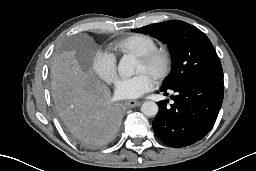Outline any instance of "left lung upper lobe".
I'll use <instances>...</instances> for the list:
<instances>
[{"label":"left lung upper lobe","mask_w":256,"mask_h":171,"mask_svg":"<svg viewBox=\"0 0 256 171\" xmlns=\"http://www.w3.org/2000/svg\"><path fill=\"white\" fill-rule=\"evenodd\" d=\"M134 32L149 34L166 43L173 67L161 88L169 89L185 80H223L220 60L209 38L198 28L179 20L151 24Z\"/></svg>","instance_id":"obj_1"}]
</instances>
